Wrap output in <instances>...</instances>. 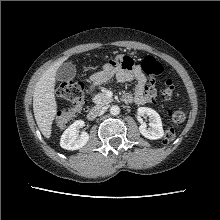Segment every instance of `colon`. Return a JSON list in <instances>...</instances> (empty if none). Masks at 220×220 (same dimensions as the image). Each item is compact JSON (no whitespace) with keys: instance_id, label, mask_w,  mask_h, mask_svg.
Here are the masks:
<instances>
[{"instance_id":"obj_1","label":"colon","mask_w":220,"mask_h":220,"mask_svg":"<svg viewBox=\"0 0 220 220\" xmlns=\"http://www.w3.org/2000/svg\"><path fill=\"white\" fill-rule=\"evenodd\" d=\"M119 65L123 68H129L133 65L132 60L129 57H123L119 61ZM142 70L150 77H155L163 71L162 64L153 56H146L141 64ZM57 94L70 104V108L59 112L56 117V126L59 129H64L70 125L73 121L78 119L85 111V87L82 82L65 81L58 85ZM174 94V84L171 80L167 81L162 92V96L165 100L172 98ZM148 101L153 100L151 94L147 95ZM169 117L172 123L180 124L185 119V114L181 109H173L169 113ZM175 138V131L173 128H169L164 135L165 142H171Z\"/></svg>"}]
</instances>
